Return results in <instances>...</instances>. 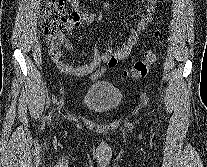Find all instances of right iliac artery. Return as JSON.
Returning <instances> with one entry per match:
<instances>
[{
  "label": "right iliac artery",
  "mask_w": 207,
  "mask_h": 167,
  "mask_svg": "<svg viewBox=\"0 0 207 167\" xmlns=\"http://www.w3.org/2000/svg\"><path fill=\"white\" fill-rule=\"evenodd\" d=\"M52 112L49 113L48 119L51 120Z\"/></svg>",
  "instance_id": "right-iliac-artery-1"
}]
</instances>
